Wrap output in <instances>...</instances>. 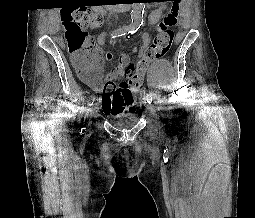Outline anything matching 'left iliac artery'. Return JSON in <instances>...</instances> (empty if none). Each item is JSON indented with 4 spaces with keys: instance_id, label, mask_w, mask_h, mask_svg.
Returning a JSON list of instances; mask_svg holds the SVG:
<instances>
[{
    "instance_id": "left-iliac-artery-1",
    "label": "left iliac artery",
    "mask_w": 255,
    "mask_h": 218,
    "mask_svg": "<svg viewBox=\"0 0 255 218\" xmlns=\"http://www.w3.org/2000/svg\"><path fill=\"white\" fill-rule=\"evenodd\" d=\"M131 34H133V32H131ZM146 100L148 103H152V97L150 95L146 96Z\"/></svg>"
}]
</instances>
